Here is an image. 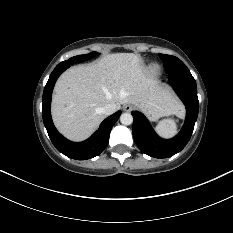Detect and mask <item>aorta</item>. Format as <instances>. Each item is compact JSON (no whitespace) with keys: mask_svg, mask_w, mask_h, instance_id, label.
I'll list each match as a JSON object with an SVG mask.
<instances>
[{"mask_svg":"<svg viewBox=\"0 0 233 233\" xmlns=\"http://www.w3.org/2000/svg\"><path fill=\"white\" fill-rule=\"evenodd\" d=\"M120 122L123 125H130L133 122V116L130 113H122L120 116Z\"/></svg>","mask_w":233,"mask_h":233,"instance_id":"aorta-1","label":"aorta"}]
</instances>
